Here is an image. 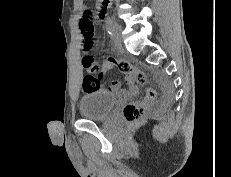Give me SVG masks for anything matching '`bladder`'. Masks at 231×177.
I'll return each mask as SVG.
<instances>
[{
	"label": "bladder",
	"mask_w": 231,
	"mask_h": 177,
	"mask_svg": "<svg viewBox=\"0 0 231 177\" xmlns=\"http://www.w3.org/2000/svg\"><path fill=\"white\" fill-rule=\"evenodd\" d=\"M117 97L107 90H94L85 94L79 102V114L85 120H103L109 116Z\"/></svg>",
	"instance_id": "obj_1"
}]
</instances>
